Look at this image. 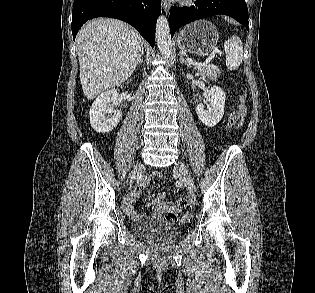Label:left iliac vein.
Returning a JSON list of instances; mask_svg holds the SVG:
<instances>
[{
    "label": "left iliac vein",
    "mask_w": 315,
    "mask_h": 293,
    "mask_svg": "<svg viewBox=\"0 0 315 293\" xmlns=\"http://www.w3.org/2000/svg\"><path fill=\"white\" fill-rule=\"evenodd\" d=\"M174 171L179 175L188 191L192 193L194 191V181L187 167L182 162L177 161L174 165Z\"/></svg>",
    "instance_id": "left-iliac-vein-1"
}]
</instances>
